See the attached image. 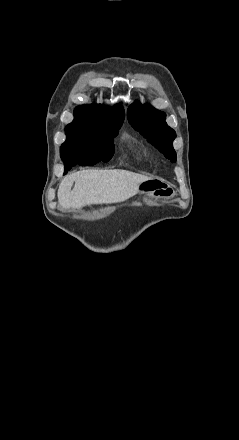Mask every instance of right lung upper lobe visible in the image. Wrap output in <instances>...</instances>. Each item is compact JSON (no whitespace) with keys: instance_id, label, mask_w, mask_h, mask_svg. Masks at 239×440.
I'll use <instances>...</instances> for the list:
<instances>
[{"instance_id":"1","label":"right lung upper lobe","mask_w":239,"mask_h":440,"mask_svg":"<svg viewBox=\"0 0 239 440\" xmlns=\"http://www.w3.org/2000/svg\"><path fill=\"white\" fill-rule=\"evenodd\" d=\"M74 117V119L96 120L122 125L125 112L120 104H116L114 107L102 104H87L77 106L74 110Z\"/></svg>"}]
</instances>
